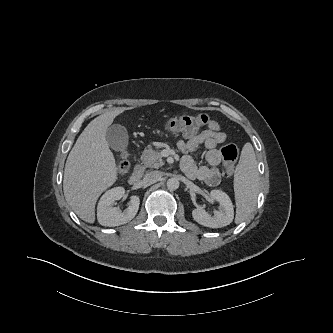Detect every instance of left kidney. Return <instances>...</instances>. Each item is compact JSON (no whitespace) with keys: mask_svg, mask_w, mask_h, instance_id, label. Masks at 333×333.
Masks as SVG:
<instances>
[{"mask_svg":"<svg viewBox=\"0 0 333 333\" xmlns=\"http://www.w3.org/2000/svg\"><path fill=\"white\" fill-rule=\"evenodd\" d=\"M210 195L219 202L220 209L215 212V216H211L202 208H196L192 211L193 219L209 228H221L229 225L234 218L233 204L229 196L221 190H212Z\"/></svg>","mask_w":333,"mask_h":333,"instance_id":"5707ae66","label":"left kidney"}]
</instances>
